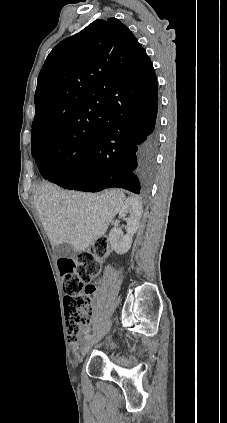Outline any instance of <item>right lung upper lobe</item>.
I'll use <instances>...</instances> for the list:
<instances>
[{
	"instance_id": "1",
	"label": "right lung upper lobe",
	"mask_w": 227,
	"mask_h": 423,
	"mask_svg": "<svg viewBox=\"0 0 227 423\" xmlns=\"http://www.w3.org/2000/svg\"><path fill=\"white\" fill-rule=\"evenodd\" d=\"M156 91L150 58L128 27L116 18L95 20L48 55L38 76L32 142L94 143L111 122L109 107Z\"/></svg>"
}]
</instances>
